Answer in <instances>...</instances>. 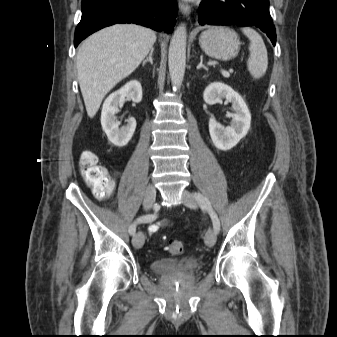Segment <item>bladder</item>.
<instances>
[{"mask_svg": "<svg viewBox=\"0 0 337 337\" xmlns=\"http://www.w3.org/2000/svg\"><path fill=\"white\" fill-rule=\"evenodd\" d=\"M180 266V261L171 258L157 259L152 262V270L160 275H168Z\"/></svg>", "mask_w": 337, "mask_h": 337, "instance_id": "bladder-1", "label": "bladder"}]
</instances>
